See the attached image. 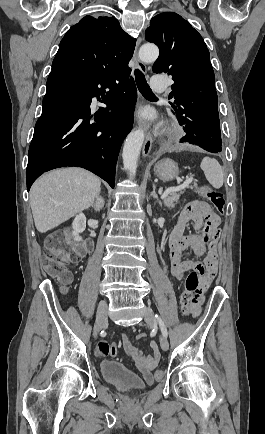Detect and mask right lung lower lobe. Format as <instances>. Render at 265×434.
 <instances>
[{
    "instance_id": "1",
    "label": "right lung lower lobe",
    "mask_w": 265,
    "mask_h": 434,
    "mask_svg": "<svg viewBox=\"0 0 265 434\" xmlns=\"http://www.w3.org/2000/svg\"><path fill=\"white\" fill-rule=\"evenodd\" d=\"M130 72L128 64L98 74L50 72L29 147L28 191L41 174L65 166L88 169L114 188L118 153L132 128L137 99L134 81L127 80ZM102 93L107 107L93 115L92 98Z\"/></svg>"
}]
</instances>
